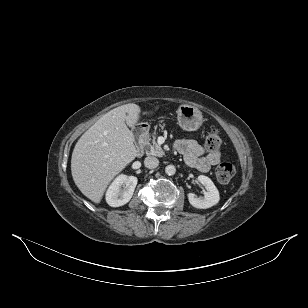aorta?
Here are the masks:
<instances>
[{
    "mask_svg": "<svg viewBox=\"0 0 308 308\" xmlns=\"http://www.w3.org/2000/svg\"><path fill=\"white\" fill-rule=\"evenodd\" d=\"M175 172H176V168H175L174 165H168V166H166V168H165V173H166L167 175H174Z\"/></svg>",
    "mask_w": 308,
    "mask_h": 308,
    "instance_id": "aorta-1",
    "label": "aorta"
}]
</instances>
